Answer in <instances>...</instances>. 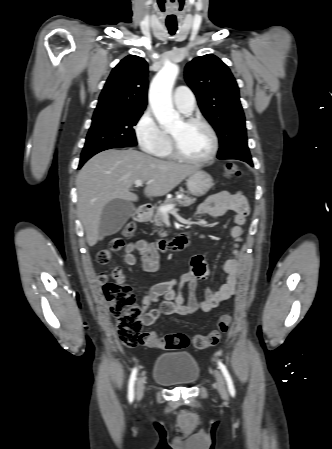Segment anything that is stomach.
Here are the masks:
<instances>
[{"instance_id":"obj_1","label":"stomach","mask_w":332,"mask_h":449,"mask_svg":"<svg viewBox=\"0 0 332 449\" xmlns=\"http://www.w3.org/2000/svg\"><path fill=\"white\" fill-rule=\"evenodd\" d=\"M213 186L212 177L203 170H197L188 176L187 188L196 197L204 196Z\"/></svg>"}]
</instances>
